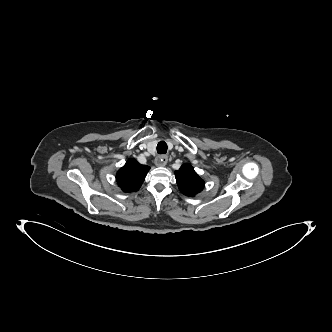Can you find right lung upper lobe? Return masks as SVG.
Instances as JSON below:
<instances>
[{
	"label": "right lung upper lobe",
	"instance_id": "right-lung-upper-lobe-1",
	"mask_svg": "<svg viewBox=\"0 0 332 332\" xmlns=\"http://www.w3.org/2000/svg\"><path fill=\"white\" fill-rule=\"evenodd\" d=\"M150 167L139 164L135 159H128L116 174L119 187L124 192L138 191Z\"/></svg>",
	"mask_w": 332,
	"mask_h": 332
}]
</instances>
